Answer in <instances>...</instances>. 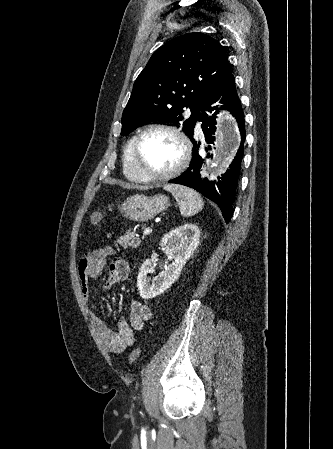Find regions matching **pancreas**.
<instances>
[{"label":"pancreas","instance_id":"obj_1","mask_svg":"<svg viewBox=\"0 0 333 449\" xmlns=\"http://www.w3.org/2000/svg\"><path fill=\"white\" fill-rule=\"evenodd\" d=\"M117 243H119L124 248H137L141 240L135 232H132L130 229L127 232L117 239Z\"/></svg>","mask_w":333,"mask_h":449}]
</instances>
